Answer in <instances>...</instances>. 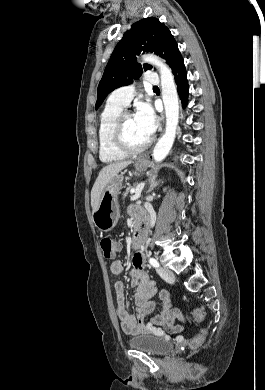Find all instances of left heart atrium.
<instances>
[{
  "instance_id": "1",
  "label": "left heart atrium",
  "mask_w": 265,
  "mask_h": 390,
  "mask_svg": "<svg viewBox=\"0 0 265 390\" xmlns=\"http://www.w3.org/2000/svg\"><path fill=\"white\" fill-rule=\"evenodd\" d=\"M134 118L144 136L149 139L157 126L155 114L150 105L146 103L141 104L138 107Z\"/></svg>"
}]
</instances>
